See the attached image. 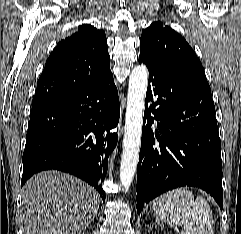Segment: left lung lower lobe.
I'll list each match as a JSON object with an SVG mask.
<instances>
[{
    "mask_svg": "<svg viewBox=\"0 0 241 234\" xmlns=\"http://www.w3.org/2000/svg\"><path fill=\"white\" fill-rule=\"evenodd\" d=\"M149 70L137 173V212L144 203L189 185L223 207L221 142L211 91Z\"/></svg>",
    "mask_w": 241,
    "mask_h": 234,
    "instance_id": "1",
    "label": "left lung lower lobe"
}]
</instances>
